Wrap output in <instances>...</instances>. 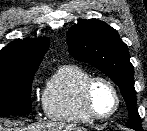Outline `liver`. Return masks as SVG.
<instances>
[{"mask_svg": "<svg viewBox=\"0 0 147 131\" xmlns=\"http://www.w3.org/2000/svg\"><path fill=\"white\" fill-rule=\"evenodd\" d=\"M0 131H86L85 128L69 123H34L22 128L7 129L0 123Z\"/></svg>", "mask_w": 147, "mask_h": 131, "instance_id": "1", "label": "liver"}]
</instances>
